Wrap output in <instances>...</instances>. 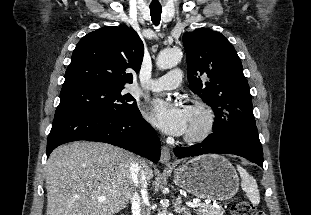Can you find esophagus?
Returning a JSON list of instances; mask_svg holds the SVG:
<instances>
[{"mask_svg": "<svg viewBox=\"0 0 311 215\" xmlns=\"http://www.w3.org/2000/svg\"><path fill=\"white\" fill-rule=\"evenodd\" d=\"M160 162L163 165L166 166H172L173 163L171 161V154H170V150L167 146L163 145L162 149H161V157H160Z\"/></svg>", "mask_w": 311, "mask_h": 215, "instance_id": "1", "label": "esophagus"}]
</instances>
